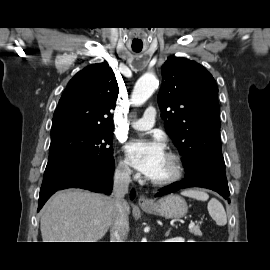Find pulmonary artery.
Masks as SVG:
<instances>
[{
    "label": "pulmonary artery",
    "mask_w": 270,
    "mask_h": 270,
    "mask_svg": "<svg viewBox=\"0 0 270 270\" xmlns=\"http://www.w3.org/2000/svg\"><path fill=\"white\" fill-rule=\"evenodd\" d=\"M155 117L156 109L154 107H148L144 112V116L140 119L134 120L131 123V126L134 129L141 131L149 130L154 126Z\"/></svg>",
    "instance_id": "obj_1"
}]
</instances>
